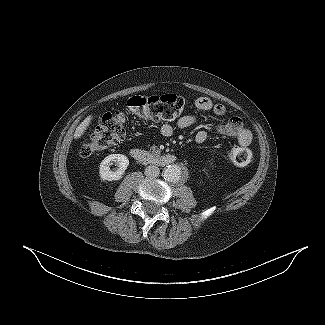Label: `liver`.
Here are the masks:
<instances>
[{
	"label": "liver",
	"instance_id": "obj_1",
	"mask_svg": "<svg viewBox=\"0 0 325 325\" xmlns=\"http://www.w3.org/2000/svg\"><path fill=\"white\" fill-rule=\"evenodd\" d=\"M92 120V116H88L87 118L84 119L83 122H81V124L76 128V131L74 133V138L78 139L80 138L84 132L87 130L88 126L90 125Z\"/></svg>",
	"mask_w": 325,
	"mask_h": 325
}]
</instances>
